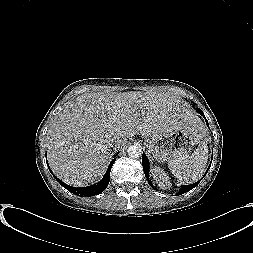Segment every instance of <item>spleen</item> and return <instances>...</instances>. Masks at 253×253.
Returning <instances> with one entry per match:
<instances>
[{"label":"spleen","mask_w":253,"mask_h":253,"mask_svg":"<svg viewBox=\"0 0 253 253\" xmlns=\"http://www.w3.org/2000/svg\"><path fill=\"white\" fill-rule=\"evenodd\" d=\"M208 146L205 142L198 146L191 156H178L168 160L172 174L186 183L197 181L206 170Z\"/></svg>","instance_id":"3e777b00"}]
</instances>
